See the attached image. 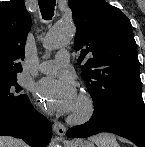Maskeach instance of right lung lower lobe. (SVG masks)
Returning a JSON list of instances; mask_svg holds the SVG:
<instances>
[{
  "instance_id": "98d812e1",
  "label": "right lung lower lobe",
  "mask_w": 145,
  "mask_h": 147,
  "mask_svg": "<svg viewBox=\"0 0 145 147\" xmlns=\"http://www.w3.org/2000/svg\"><path fill=\"white\" fill-rule=\"evenodd\" d=\"M0 136L21 138L32 147H46L52 134L47 118L29 100L23 109L0 112Z\"/></svg>"
}]
</instances>
